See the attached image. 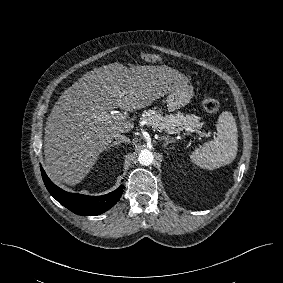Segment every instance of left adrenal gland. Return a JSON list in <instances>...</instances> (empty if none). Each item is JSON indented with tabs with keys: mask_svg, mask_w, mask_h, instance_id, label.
<instances>
[{
	"mask_svg": "<svg viewBox=\"0 0 283 283\" xmlns=\"http://www.w3.org/2000/svg\"><path fill=\"white\" fill-rule=\"evenodd\" d=\"M160 140H164L165 141V143H164L165 146H167L169 143L173 142L169 137H166V136L160 137Z\"/></svg>",
	"mask_w": 283,
	"mask_h": 283,
	"instance_id": "a2214340",
	"label": "left adrenal gland"
}]
</instances>
